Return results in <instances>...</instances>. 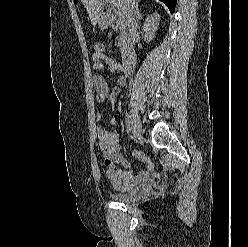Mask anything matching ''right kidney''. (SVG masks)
<instances>
[{
    "mask_svg": "<svg viewBox=\"0 0 248 247\" xmlns=\"http://www.w3.org/2000/svg\"><path fill=\"white\" fill-rule=\"evenodd\" d=\"M159 19H160V15L157 12L149 15L146 18V20L143 24L142 37L147 42H150L153 40V38L155 36V32L158 29Z\"/></svg>",
    "mask_w": 248,
    "mask_h": 247,
    "instance_id": "1",
    "label": "right kidney"
}]
</instances>
